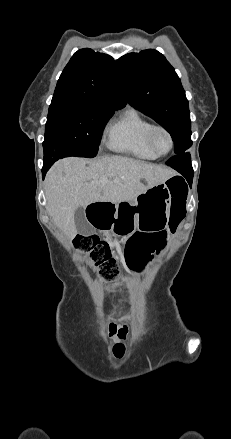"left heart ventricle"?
Instances as JSON below:
<instances>
[{"label": "left heart ventricle", "mask_w": 231, "mask_h": 439, "mask_svg": "<svg viewBox=\"0 0 231 439\" xmlns=\"http://www.w3.org/2000/svg\"><path fill=\"white\" fill-rule=\"evenodd\" d=\"M155 141V146L157 148L158 151L160 152H165L168 149V140L166 138V136L164 135V133L162 132H157L154 138Z\"/></svg>", "instance_id": "left-heart-ventricle-1"}]
</instances>
